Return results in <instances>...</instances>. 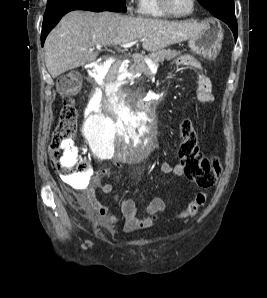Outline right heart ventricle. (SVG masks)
I'll return each instance as SVG.
<instances>
[{"label": "right heart ventricle", "instance_id": "obj_1", "mask_svg": "<svg viewBox=\"0 0 267 298\" xmlns=\"http://www.w3.org/2000/svg\"><path fill=\"white\" fill-rule=\"evenodd\" d=\"M138 13L143 18L166 19L170 17L159 8L157 0H139Z\"/></svg>", "mask_w": 267, "mask_h": 298}]
</instances>
